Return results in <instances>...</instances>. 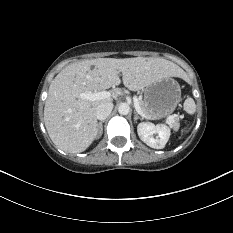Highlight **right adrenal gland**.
Wrapping results in <instances>:
<instances>
[{"label": "right adrenal gland", "mask_w": 233, "mask_h": 233, "mask_svg": "<svg viewBox=\"0 0 233 233\" xmlns=\"http://www.w3.org/2000/svg\"><path fill=\"white\" fill-rule=\"evenodd\" d=\"M103 123H104V120L98 123V131H99L98 138H100L103 133Z\"/></svg>", "instance_id": "obj_1"}]
</instances>
